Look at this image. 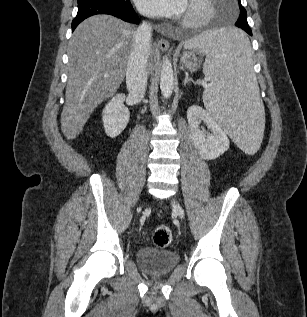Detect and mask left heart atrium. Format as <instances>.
<instances>
[{"mask_svg":"<svg viewBox=\"0 0 307 317\" xmlns=\"http://www.w3.org/2000/svg\"><path fill=\"white\" fill-rule=\"evenodd\" d=\"M138 9L153 17L179 16L187 9V0H136Z\"/></svg>","mask_w":307,"mask_h":317,"instance_id":"obj_1","label":"left heart atrium"}]
</instances>
